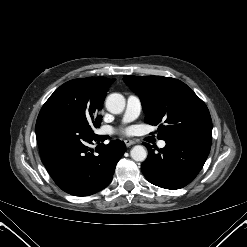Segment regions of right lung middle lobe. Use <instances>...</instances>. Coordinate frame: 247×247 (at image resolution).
<instances>
[{"label": "right lung middle lobe", "instance_id": "right-lung-middle-lobe-1", "mask_svg": "<svg viewBox=\"0 0 247 247\" xmlns=\"http://www.w3.org/2000/svg\"><path fill=\"white\" fill-rule=\"evenodd\" d=\"M104 98L82 79L70 80L60 86L42 109H52L71 115L92 128H98Z\"/></svg>", "mask_w": 247, "mask_h": 247}]
</instances>
